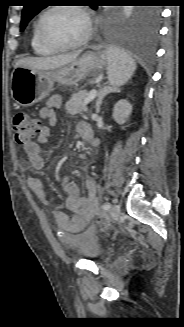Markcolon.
<instances>
[{
	"mask_svg": "<svg viewBox=\"0 0 184 327\" xmlns=\"http://www.w3.org/2000/svg\"><path fill=\"white\" fill-rule=\"evenodd\" d=\"M41 123L38 119L31 117L26 112H18L13 118V130L15 140L20 145H28L34 141L39 134ZM96 219L99 223L104 222L101 214H96Z\"/></svg>",
	"mask_w": 184,
	"mask_h": 327,
	"instance_id": "obj_1",
	"label": "colon"
}]
</instances>
